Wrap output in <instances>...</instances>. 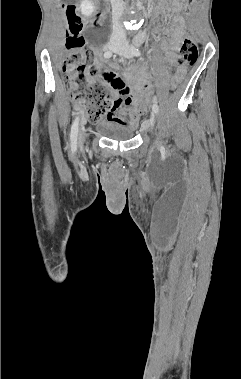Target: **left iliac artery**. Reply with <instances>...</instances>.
<instances>
[{"label": "left iliac artery", "instance_id": "44dca946", "mask_svg": "<svg viewBox=\"0 0 241 379\" xmlns=\"http://www.w3.org/2000/svg\"><path fill=\"white\" fill-rule=\"evenodd\" d=\"M138 46H139V43H138V42H136V45H135V46H134V45H131V51H132V54L135 55V56H139V55L141 54V52H140ZM156 100H157V99L155 98V99H154L155 102H154V104H153L152 109H153V111H154L155 113H158V112H159V106L157 105Z\"/></svg>", "mask_w": 241, "mask_h": 379}]
</instances>
